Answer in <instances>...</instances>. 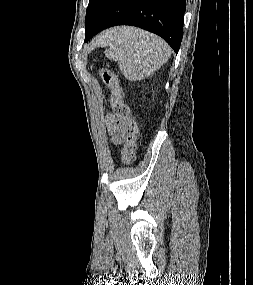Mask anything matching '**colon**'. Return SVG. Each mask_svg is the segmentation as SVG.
Returning <instances> with one entry per match:
<instances>
[{"label":"colon","instance_id":"5ec220e1","mask_svg":"<svg viewBox=\"0 0 253 285\" xmlns=\"http://www.w3.org/2000/svg\"><path fill=\"white\" fill-rule=\"evenodd\" d=\"M99 73L114 93L112 109L115 117L125 124L126 140L122 150V161L125 165H129L135 158L138 126L130 115V108L124 102L123 89L116 74L107 68H102Z\"/></svg>","mask_w":253,"mask_h":285}]
</instances>
